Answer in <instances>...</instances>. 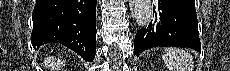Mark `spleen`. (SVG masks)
<instances>
[{"label":"spleen","mask_w":230,"mask_h":71,"mask_svg":"<svg viewBox=\"0 0 230 71\" xmlns=\"http://www.w3.org/2000/svg\"><path fill=\"white\" fill-rule=\"evenodd\" d=\"M169 71H193L190 54L179 48H166L162 56Z\"/></svg>","instance_id":"spleen-1"}]
</instances>
